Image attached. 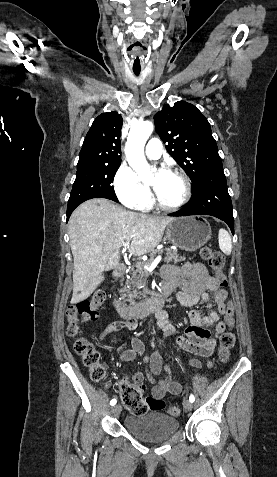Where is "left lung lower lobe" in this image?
Wrapping results in <instances>:
<instances>
[{"mask_svg": "<svg viewBox=\"0 0 277 477\" xmlns=\"http://www.w3.org/2000/svg\"><path fill=\"white\" fill-rule=\"evenodd\" d=\"M211 215L228 224L234 234V218L231 198L227 191L223 167H217L203 174L194 187L190 204L170 216Z\"/></svg>", "mask_w": 277, "mask_h": 477, "instance_id": "obj_1", "label": "left lung lower lobe"}]
</instances>
